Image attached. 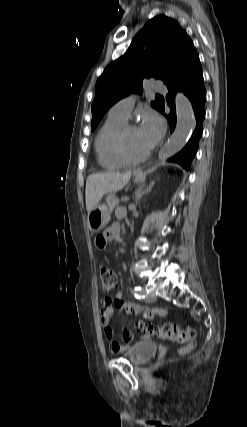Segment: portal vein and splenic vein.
<instances>
[{"instance_id": "1", "label": "portal vein and splenic vein", "mask_w": 247, "mask_h": 427, "mask_svg": "<svg viewBox=\"0 0 247 427\" xmlns=\"http://www.w3.org/2000/svg\"><path fill=\"white\" fill-rule=\"evenodd\" d=\"M129 200V197L128 196H123V197H121V201L122 202H127Z\"/></svg>"}]
</instances>
